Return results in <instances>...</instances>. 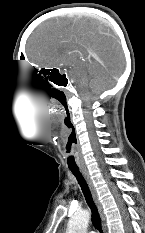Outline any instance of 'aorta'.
Instances as JSON below:
<instances>
[{"label":"aorta","instance_id":"762f6f07","mask_svg":"<svg viewBox=\"0 0 145 233\" xmlns=\"http://www.w3.org/2000/svg\"><path fill=\"white\" fill-rule=\"evenodd\" d=\"M90 219L88 210H81L75 213L69 220L66 233H87Z\"/></svg>","mask_w":145,"mask_h":233}]
</instances>
